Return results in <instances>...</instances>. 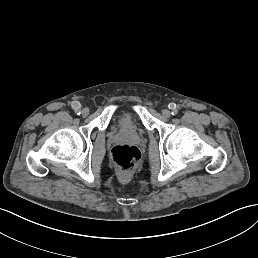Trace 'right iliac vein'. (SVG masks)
<instances>
[{"label":"right iliac vein","mask_w":258,"mask_h":258,"mask_svg":"<svg viewBox=\"0 0 258 258\" xmlns=\"http://www.w3.org/2000/svg\"><path fill=\"white\" fill-rule=\"evenodd\" d=\"M81 113H82V115H83V116H85V117H86V116H88V115H89V113H90V112H89V110H88V109H86V108H85V109H83V110H82V112H81Z\"/></svg>","instance_id":"right-iliac-vein-1"}]
</instances>
